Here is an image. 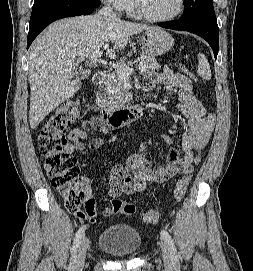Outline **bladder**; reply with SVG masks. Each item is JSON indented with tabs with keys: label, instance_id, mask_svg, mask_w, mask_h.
<instances>
[{
	"label": "bladder",
	"instance_id": "obj_1",
	"mask_svg": "<svg viewBox=\"0 0 253 271\" xmlns=\"http://www.w3.org/2000/svg\"><path fill=\"white\" fill-rule=\"evenodd\" d=\"M141 244V233L128 224L109 225L101 232L98 239V247L115 258L134 256L139 252Z\"/></svg>",
	"mask_w": 253,
	"mask_h": 271
}]
</instances>
